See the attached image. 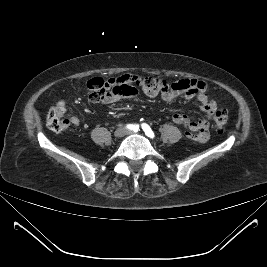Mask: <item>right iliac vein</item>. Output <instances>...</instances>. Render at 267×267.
I'll use <instances>...</instances> for the list:
<instances>
[{
  "label": "right iliac vein",
  "instance_id": "obj_1",
  "mask_svg": "<svg viewBox=\"0 0 267 267\" xmlns=\"http://www.w3.org/2000/svg\"><path fill=\"white\" fill-rule=\"evenodd\" d=\"M126 134V129L123 127L118 128L115 132H114V136L116 138H121Z\"/></svg>",
  "mask_w": 267,
  "mask_h": 267
}]
</instances>
